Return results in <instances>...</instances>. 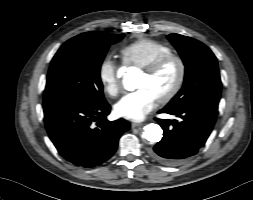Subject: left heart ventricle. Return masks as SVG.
<instances>
[{"mask_svg":"<svg viewBox=\"0 0 253 200\" xmlns=\"http://www.w3.org/2000/svg\"><path fill=\"white\" fill-rule=\"evenodd\" d=\"M178 73L177 64L174 62L166 65L155 75L142 73L137 80V87L149 89L158 99L174 84Z\"/></svg>","mask_w":253,"mask_h":200,"instance_id":"left-heart-ventricle-1","label":"left heart ventricle"}]
</instances>
